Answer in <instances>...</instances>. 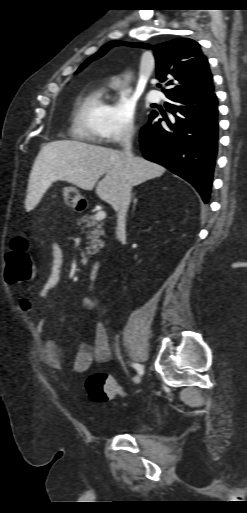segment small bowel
<instances>
[{
    "instance_id": "c3829d8e",
    "label": "small bowel",
    "mask_w": 247,
    "mask_h": 513,
    "mask_svg": "<svg viewBox=\"0 0 247 513\" xmlns=\"http://www.w3.org/2000/svg\"><path fill=\"white\" fill-rule=\"evenodd\" d=\"M51 267L49 274L40 289V295L48 296L54 291L62 281V270L64 262L63 248L59 243H53L51 246ZM20 304L23 308L30 311L31 302L27 298L21 299ZM95 306L93 297H84L81 303L83 310H91ZM48 328V321L44 318L39 319L36 324L38 333L42 336L41 346L39 349L40 361L53 370L62 369V354L56 343L45 334ZM112 357V351L109 344L108 331L103 322H99L95 329L93 339L83 341L72 362L71 370L76 373L86 372L94 362L105 363Z\"/></svg>"
}]
</instances>
